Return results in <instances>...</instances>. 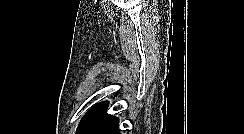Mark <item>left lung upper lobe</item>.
Segmentation results:
<instances>
[{"mask_svg":"<svg viewBox=\"0 0 244 134\" xmlns=\"http://www.w3.org/2000/svg\"><path fill=\"white\" fill-rule=\"evenodd\" d=\"M108 102L94 105L82 118L76 134H94V132L112 117L106 113Z\"/></svg>","mask_w":244,"mask_h":134,"instance_id":"5c2ea615","label":"left lung upper lobe"}]
</instances>
